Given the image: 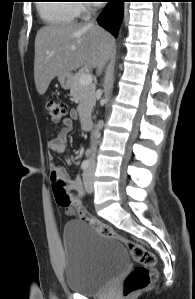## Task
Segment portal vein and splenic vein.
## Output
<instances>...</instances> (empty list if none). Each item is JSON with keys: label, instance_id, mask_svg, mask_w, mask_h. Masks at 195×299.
<instances>
[{"label": "portal vein and splenic vein", "instance_id": "18ae733b", "mask_svg": "<svg viewBox=\"0 0 195 299\" xmlns=\"http://www.w3.org/2000/svg\"><path fill=\"white\" fill-rule=\"evenodd\" d=\"M92 83V75L91 74H83L80 77V84L81 85H89Z\"/></svg>", "mask_w": 195, "mask_h": 299}]
</instances>
